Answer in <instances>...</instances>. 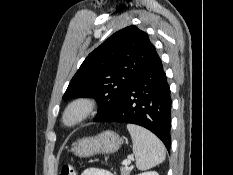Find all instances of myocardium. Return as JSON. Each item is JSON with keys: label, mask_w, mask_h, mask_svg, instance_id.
Listing matches in <instances>:
<instances>
[{"label": "myocardium", "mask_w": 233, "mask_h": 175, "mask_svg": "<svg viewBox=\"0 0 233 175\" xmlns=\"http://www.w3.org/2000/svg\"><path fill=\"white\" fill-rule=\"evenodd\" d=\"M97 101L89 96H80L71 100L62 113V124L74 127L88 119L97 110Z\"/></svg>", "instance_id": "1"}]
</instances>
